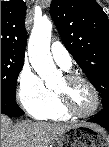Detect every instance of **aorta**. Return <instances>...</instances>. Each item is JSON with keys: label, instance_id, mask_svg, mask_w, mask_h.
Here are the masks:
<instances>
[{"label": "aorta", "instance_id": "1", "mask_svg": "<svg viewBox=\"0 0 109 147\" xmlns=\"http://www.w3.org/2000/svg\"><path fill=\"white\" fill-rule=\"evenodd\" d=\"M52 23L48 19L36 21L28 43L29 60L37 74L52 87L60 79L50 53Z\"/></svg>", "mask_w": 109, "mask_h": 147}]
</instances>
